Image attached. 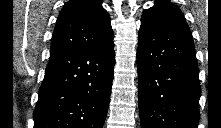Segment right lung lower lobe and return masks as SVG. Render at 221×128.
<instances>
[{
  "mask_svg": "<svg viewBox=\"0 0 221 128\" xmlns=\"http://www.w3.org/2000/svg\"><path fill=\"white\" fill-rule=\"evenodd\" d=\"M113 39L104 47L50 56L34 110V128H102L115 63Z\"/></svg>",
  "mask_w": 221,
  "mask_h": 128,
  "instance_id": "98d812e1",
  "label": "right lung lower lobe"
}]
</instances>
